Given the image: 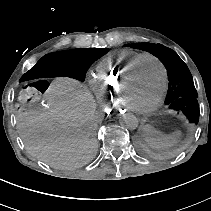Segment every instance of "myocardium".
I'll return each mask as SVG.
<instances>
[{
	"label": "myocardium",
	"instance_id": "obj_1",
	"mask_svg": "<svg viewBox=\"0 0 211 211\" xmlns=\"http://www.w3.org/2000/svg\"><path fill=\"white\" fill-rule=\"evenodd\" d=\"M146 60H153L159 65L162 72V88H161L159 97L156 99V101L153 104H151L148 107H138V106L132 105L128 101L127 94L129 91L130 82L132 78L135 76L138 67ZM166 83H167V71L162 61L154 55H146L132 70H130L125 75L120 86L119 100L122 103V105L129 111L137 113V114H141V115H149L153 113L154 111H156L158 107L160 106V104L162 103L165 96Z\"/></svg>",
	"mask_w": 211,
	"mask_h": 211
}]
</instances>
